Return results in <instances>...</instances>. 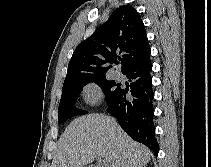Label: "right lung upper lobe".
I'll list each match as a JSON object with an SVG mask.
<instances>
[{
    "instance_id": "obj_1",
    "label": "right lung upper lobe",
    "mask_w": 211,
    "mask_h": 167,
    "mask_svg": "<svg viewBox=\"0 0 211 167\" xmlns=\"http://www.w3.org/2000/svg\"><path fill=\"white\" fill-rule=\"evenodd\" d=\"M122 58H121V57ZM150 56V46L136 9L124 5L74 51L63 85L81 79L105 76L121 59V71Z\"/></svg>"
}]
</instances>
